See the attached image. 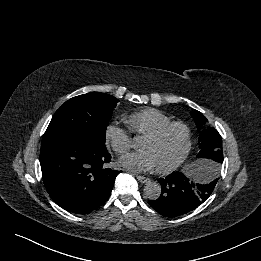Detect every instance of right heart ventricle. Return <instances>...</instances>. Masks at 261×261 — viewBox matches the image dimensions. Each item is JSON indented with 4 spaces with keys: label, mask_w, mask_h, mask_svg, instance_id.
Returning a JSON list of instances; mask_svg holds the SVG:
<instances>
[{
    "label": "right heart ventricle",
    "mask_w": 261,
    "mask_h": 261,
    "mask_svg": "<svg viewBox=\"0 0 261 261\" xmlns=\"http://www.w3.org/2000/svg\"><path fill=\"white\" fill-rule=\"evenodd\" d=\"M132 132L139 136H146L164 124L171 122V118L155 108H146L134 112L127 117Z\"/></svg>",
    "instance_id": "1"
}]
</instances>
